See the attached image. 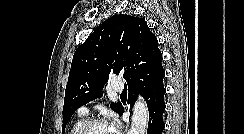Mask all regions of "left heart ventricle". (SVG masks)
Returning <instances> with one entry per match:
<instances>
[{
    "label": "left heart ventricle",
    "instance_id": "1",
    "mask_svg": "<svg viewBox=\"0 0 244 134\" xmlns=\"http://www.w3.org/2000/svg\"><path fill=\"white\" fill-rule=\"evenodd\" d=\"M86 134H112L108 125H96L89 129Z\"/></svg>",
    "mask_w": 244,
    "mask_h": 134
}]
</instances>
